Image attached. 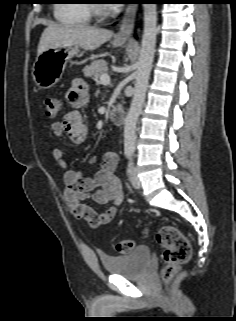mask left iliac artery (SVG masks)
<instances>
[{"label": "left iliac artery", "mask_w": 236, "mask_h": 321, "mask_svg": "<svg viewBox=\"0 0 236 321\" xmlns=\"http://www.w3.org/2000/svg\"><path fill=\"white\" fill-rule=\"evenodd\" d=\"M131 168H132V154L130 155V161L128 163V169H127V173L131 172Z\"/></svg>", "instance_id": "obj_1"}]
</instances>
